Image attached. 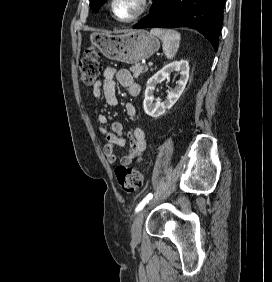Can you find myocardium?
Masks as SVG:
<instances>
[{
    "mask_svg": "<svg viewBox=\"0 0 272 282\" xmlns=\"http://www.w3.org/2000/svg\"><path fill=\"white\" fill-rule=\"evenodd\" d=\"M117 1L118 0H112L111 1L110 9H111V12H112L113 16L118 21L123 22V23H132V22H135L136 20L140 19L147 12V10L149 9L150 2H151V0H140L141 8L139 9V11L136 12L133 16H131L129 18L123 19V18H120L117 15V13H116L115 6H116Z\"/></svg>",
    "mask_w": 272,
    "mask_h": 282,
    "instance_id": "obj_1",
    "label": "myocardium"
}]
</instances>
